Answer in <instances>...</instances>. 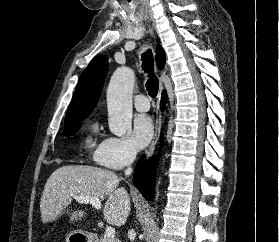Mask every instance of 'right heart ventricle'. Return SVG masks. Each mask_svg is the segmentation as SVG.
Here are the masks:
<instances>
[{"label": "right heart ventricle", "instance_id": "right-heart-ventricle-1", "mask_svg": "<svg viewBox=\"0 0 279 242\" xmlns=\"http://www.w3.org/2000/svg\"><path fill=\"white\" fill-rule=\"evenodd\" d=\"M96 132V125H94L92 127V131L90 134L87 135L86 139H85V143L87 146H93L94 143H95V139H94V136H93V133Z\"/></svg>", "mask_w": 279, "mask_h": 242}]
</instances>
